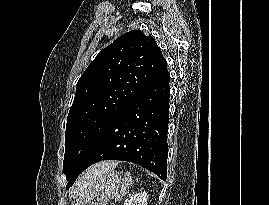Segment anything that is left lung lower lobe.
I'll use <instances>...</instances> for the list:
<instances>
[{
	"label": "left lung lower lobe",
	"mask_w": 269,
	"mask_h": 205,
	"mask_svg": "<svg viewBox=\"0 0 269 205\" xmlns=\"http://www.w3.org/2000/svg\"><path fill=\"white\" fill-rule=\"evenodd\" d=\"M169 79L166 65L104 129L74 171L67 189L85 169L102 160L129 161L166 180Z\"/></svg>",
	"instance_id": "1"
}]
</instances>
